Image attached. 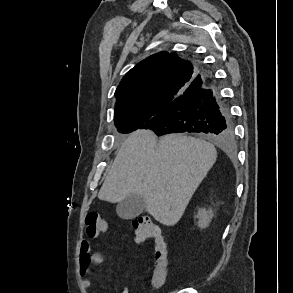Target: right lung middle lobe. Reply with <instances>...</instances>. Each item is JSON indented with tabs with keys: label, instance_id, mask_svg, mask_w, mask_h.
<instances>
[{
	"label": "right lung middle lobe",
	"instance_id": "obj_1",
	"mask_svg": "<svg viewBox=\"0 0 293 293\" xmlns=\"http://www.w3.org/2000/svg\"><path fill=\"white\" fill-rule=\"evenodd\" d=\"M153 115V110L149 108L137 109L120 116H115V126L120 133H130L139 129L143 124L149 121Z\"/></svg>",
	"mask_w": 293,
	"mask_h": 293
}]
</instances>
